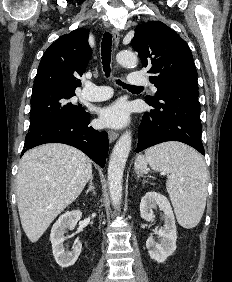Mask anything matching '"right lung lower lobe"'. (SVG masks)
<instances>
[{
  "mask_svg": "<svg viewBox=\"0 0 232 282\" xmlns=\"http://www.w3.org/2000/svg\"><path fill=\"white\" fill-rule=\"evenodd\" d=\"M90 113L81 117L61 116L46 124L29 130L24 150L45 143H64L78 148L99 166L104 167L108 153V135L89 126Z\"/></svg>",
  "mask_w": 232,
  "mask_h": 282,
  "instance_id": "right-lung-lower-lobe-1",
  "label": "right lung lower lobe"
}]
</instances>
